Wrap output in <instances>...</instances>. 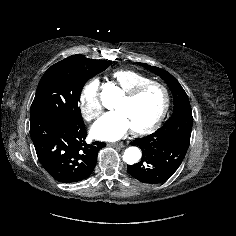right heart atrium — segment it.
Wrapping results in <instances>:
<instances>
[{
  "label": "right heart atrium",
  "instance_id": "1",
  "mask_svg": "<svg viewBox=\"0 0 236 236\" xmlns=\"http://www.w3.org/2000/svg\"><path fill=\"white\" fill-rule=\"evenodd\" d=\"M100 82L94 78L89 80L79 95V106L83 118L94 121L102 113V104L99 98Z\"/></svg>",
  "mask_w": 236,
  "mask_h": 236
}]
</instances>
